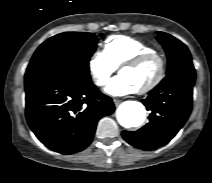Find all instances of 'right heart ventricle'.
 Returning <instances> with one entry per match:
<instances>
[{
    "label": "right heart ventricle",
    "instance_id": "e07e8e85",
    "mask_svg": "<svg viewBox=\"0 0 212 183\" xmlns=\"http://www.w3.org/2000/svg\"><path fill=\"white\" fill-rule=\"evenodd\" d=\"M149 51H155L154 47L128 36H112L104 43V52L117 68L126 61Z\"/></svg>",
    "mask_w": 212,
    "mask_h": 183
}]
</instances>
